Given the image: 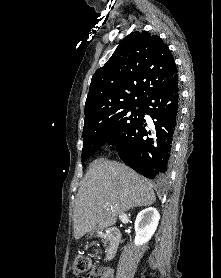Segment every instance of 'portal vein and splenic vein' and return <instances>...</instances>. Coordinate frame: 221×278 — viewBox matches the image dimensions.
Instances as JSON below:
<instances>
[{"mask_svg": "<svg viewBox=\"0 0 221 278\" xmlns=\"http://www.w3.org/2000/svg\"><path fill=\"white\" fill-rule=\"evenodd\" d=\"M109 206V204H106V207H108Z\"/></svg>", "mask_w": 221, "mask_h": 278, "instance_id": "1", "label": "portal vein and splenic vein"}]
</instances>
